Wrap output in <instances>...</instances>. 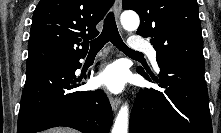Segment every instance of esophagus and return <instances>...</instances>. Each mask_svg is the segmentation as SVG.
<instances>
[{"label":"esophagus","mask_w":221,"mask_h":133,"mask_svg":"<svg viewBox=\"0 0 221 133\" xmlns=\"http://www.w3.org/2000/svg\"><path fill=\"white\" fill-rule=\"evenodd\" d=\"M121 9H122V1L121 0H116L115 4H114V13L116 18L118 19L121 13ZM110 104L111 107L113 109V111H117V109L119 108L120 104H121V100L119 97H113L110 96Z\"/></svg>","instance_id":"obj_1"}]
</instances>
